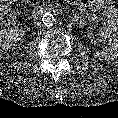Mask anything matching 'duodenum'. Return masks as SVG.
I'll return each mask as SVG.
<instances>
[{
  "label": "duodenum",
  "instance_id": "duodenum-1",
  "mask_svg": "<svg viewBox=\"0 0 118 118\" xmlns=\"http://www.w3.org/2000/svg\"><path fill=\"white\" fill-rule=\"evenodd\" d=\"M44 10H45V8H44V6H42V5H37V6L35 7V13H36L37 15L43 14ZM77 21L81 23V20H80L79 18L77 19Z\"/></svg>",
  "mask_w": 118,
  "mask_h": 118
}]
</instances>
